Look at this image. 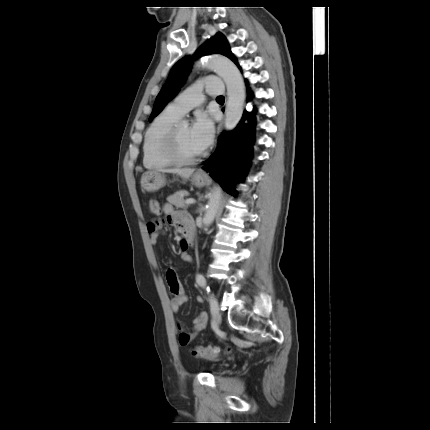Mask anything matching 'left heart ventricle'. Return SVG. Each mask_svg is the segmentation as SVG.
I'll list each match as a JSON object with an SVG mask.
<instances>
[{"instance_id":"b2bd125f","label":"left heart ventricle","mask_w":430,"mask_h":430,"mask_svg":"<svg viewBox=\"0 0 430 430\" xmlns=\"http://www.w3.org/2000/svg\"><path fill=\"white\" fill-rule=\"evenodd\" d=\"M178 143L181 152L185 156H194L200 151L194 146L191 140L190 127L186 125H181L178 131Z\"/></svg>"}]
</instances>
